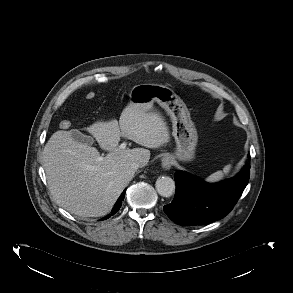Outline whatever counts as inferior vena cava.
I'll use <instances>...</instances> for the list:
<instances>
[{
  "label": "inferior vena cava",
  "instance_id": "inferior-vena-cava-1",
  "mask_svg": "<svg viewBox=\"0 0 293 293\" xmlns=\"http://www.w3.org/2000/svg\"><path fill=\"white\" fill-rule=\"evenodd\" d=\"M146 165V162L144 160H140L137 162H133L131 164V168L134 170H137L138 168L144 167Z\"/></svg>",
  "mask_w": 293,
  "mask_h": 293
}]
</instances>
